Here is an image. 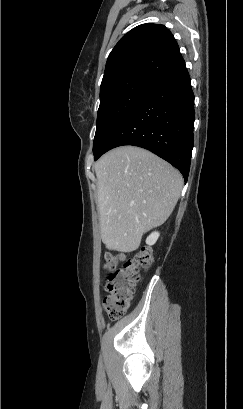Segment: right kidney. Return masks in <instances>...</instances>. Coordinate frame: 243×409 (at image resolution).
<instances>
[{
  "label": "right kidney",
  "mask_w": 243,
  "mask_h": 409,
  "mask_svg": "<svg viewBox=\"0 0 243 409\" xmlns=\"http://www.w3.org/2000/svg\"><path fill=\"white\" fill-rule=\"evenodd\" d=\"M159 235L160 234L158 232H156V231L151 233L146 239V244H148L149 246L154 245L156 243V241L158 240Z\"/></svg>",
  "instance_id": "obj_1"
}]
</instances>
